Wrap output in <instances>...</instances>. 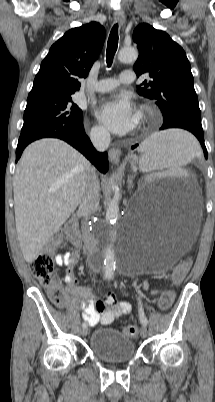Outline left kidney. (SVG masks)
I'll list each match as a JSON object with an SVG mask.
<instances>
[{
	"instance_id": "left-kidney-1",
	"label": "left kidney",
	"mask_w": 215,
	"mask_h": 402,
	"mask_svg": "<svg viewBox=\"0 0 215 402\" xmlns=\"http://www.w3.org/2000/svg\"><path fill=\"white\" fill-rule=\"evenodd\" d=\"M148 175H151V172H148ZM152 175H156V172H152ZM161 175H165V172H161ZM171 175H176V172H171ZM177 175L179 176V177H187V178H190V177H192V175H193V172H192V170H190V169H187V170H179L178 172H177Z\"/></svg>"
}]
</instances>
